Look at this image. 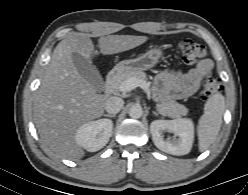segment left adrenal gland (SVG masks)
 <instances>
[{
  "mask_svg": "<svg viewBox=\"0 0 248 195\" xmlns=\"http://www.w3.org/2000/svg\"><path fill=\"white\" fill-rule=\"evenodd\" d=\"M152 113H153L154 115H156V116L158 115V113H156L155 111H153Z\"/></svg>",
  "mask_w": 248,
  "mask_h": 195,
  "instance_id": "left-adrenal-gland-1",
  "label": "left adrenal gland"
}]
</instances>
